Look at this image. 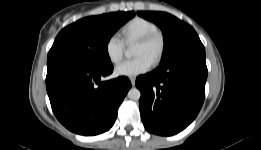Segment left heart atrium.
I'll return each instance as SVG.
<instances>
[{
  "label": "left heart atrium",
  "instance_id": "39dd6f15",
  "mask_svg": "<svg viewBox=\"0 0 261 150\" xmlns=\"http://www.w3.org/2000/svg\"><path fill=\"white\" fill-rule=\"evenodd\" d=\"M152 65L153 60L150 57L140 55L117 65L115 72L119 76L136 77L149 71Z\"/></svg>",
  "mask_w": 261,
  "mask_h": 150
}]
</instances>
